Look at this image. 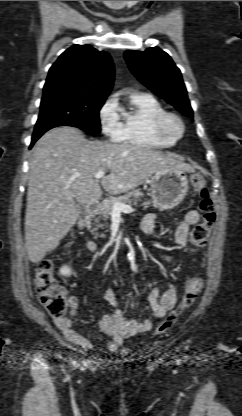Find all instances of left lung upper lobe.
<instances>
[{
    "mask_svg": "<svg viewBox=\"0 0 242 416\" xmlns=\"http://www.w3.org/2000/svg\"><path fill=\"white\" fill-rule=\"evenodd\" d=\"M124 58L140 82L182 114L193 118L181 72L166 52L158 47L144 52L128 50Z\"/></svg>",
    "mask_w": 242,
    "mask_h": 416,
    "instance_id": "5c2ea615",
    "label": "left lung upper lobe"
}]
</instances>
